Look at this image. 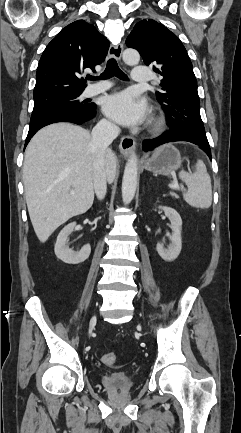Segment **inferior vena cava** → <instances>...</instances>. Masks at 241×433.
I'll use <instances>...</instances> for the list:
<instances>
[{"mask_svg": "<svg viewBox=\"0 0 241 433\" xmlns=\"http://www.w3.org/2000/svg\"><path fill=\"white\" fill-rule=\"evenodd\" d=\"M119 133V127L106 120L97 123L91 133L89 150L93 155V185L96 196L99 200H102L105 197L107 190L105 151Z\"/></svg>", "mask_w": 241, "mask_h": 433, "instance_id": "inferior-vena-cava-1", "label": "inferior vena cava"}]
</instances>
